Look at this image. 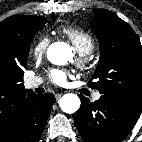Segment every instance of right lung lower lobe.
I'll return each instance as SVG.
<instances>
[{"mask_svg": "<svg viewBox=\"0 0 142 142\" xmlns=\"http://www.w3.org/2000/svg\"><path fill=\"white\" fill-rule=\"evenodd\" d=\"M55 102L52 94H32L20 106L7 131L0 134L2 142H38Z\"/></svg>", "mask_w": 142, "mask_h": 142, "instance_id": "obj_1", "label": "right lung lower lobe"}]
</instances>
